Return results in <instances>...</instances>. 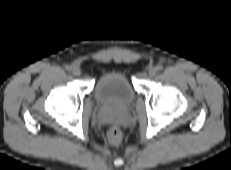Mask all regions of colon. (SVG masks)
<instances>
[{
    "label": "colon",
    "instance_id": "1",
    "mask_svg": "<svg viewBox=\"0 0 231 170\" xmlns=\"http://www.w3.org/2000/svg\"><path fill=\"white\" fill-rule=\"evenodd\" d=\"M122 133L118 128H112L108 132V140L111 144L116 145L121 141Z\"/></svg>",
    "mask_w": 231,
    "mask_h": 170
}]
</instances>
